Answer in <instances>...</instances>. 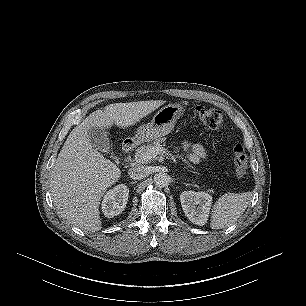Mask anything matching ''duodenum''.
<instances>
[{
	"label": "duodenum",
	"mask_w": 306,
	"mask_h": 306,
	"mask_svg": "<svg viewBox=\"0 0 306 306\" xmlns=\"http://www.w3.org/2000/svg\"><path fill=\"white\" fill-rule=\"evenodd\" d=\"M134 147V141L126 140L122 145V151L124 153H129Z\"/></svg>",
	"instance_id": "410a0bca"
}]
</instances>
